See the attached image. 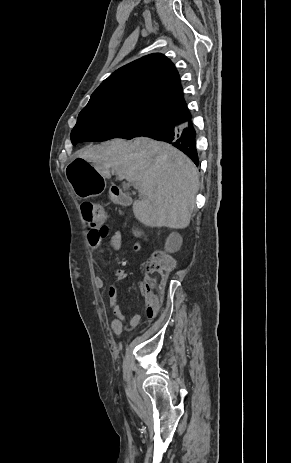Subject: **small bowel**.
Listing matches in <instances>:
<instances>
[{
  "label": "small bowel",
  "mask_w": 291,
  "mask_h": 463,
  "mask_svg": "<svg viewBox=\"0 0 291 463\" xmlns=\"http://www.w3.org/2000/svg\"><path fill=\"white\" fill-rule=\"evenodd\" d=\"M109 234V228L107 226H104L100 230H89L86 234V241L89 247H91L94 250H100L102 243L104 239L108 236ZM110 245L113 250H119L122 245V233L119 231H116L115 233L112 234L110 237ZM142 245L139 241L135 242L133 244V250L138 252L140 251ZM127 274L126 271L123 268H118L115 271L114 278L116 281H122L126 278ZM96 285L98 287H103L104 286V279L102 277H97L96 278ZM115 288H112L110 290V301L111 304H115ZM148 318H153L149 316L146 313ZM141 317L137 314H134L130 318V324L132 326H137L140 323ZM123 323L124 320L122 317H117L112 321L111 327L116 336H120L123 330Z\"/></svg>",
  "instance_id": "c3829d8e"
}]
</instances>
